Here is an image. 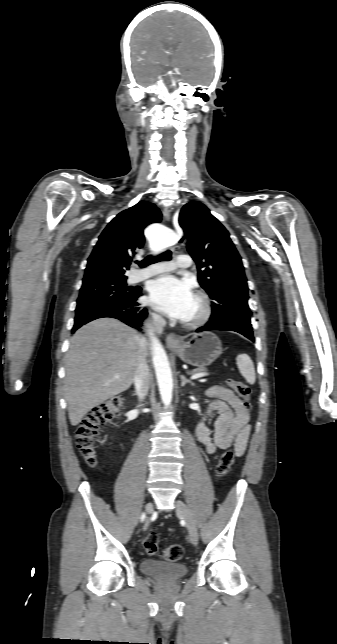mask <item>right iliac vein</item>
<instances>
[{
	"instance_id": "1",
	"label": "right iliac vein",
	"mask_w": 337,
	"mask_h": 644,
	"mask_svg": "<svg viewBox=\"0 0 337 644\" xmlns=\"http://www.w3.org/2000/svg\"><path fill=\"white\" fill-rule=\"evenodd\" d=\"M152 510H153V509H152V503H148V504H147V506H146V511H147V513H148V514H151ZM147 527H148V520H147V522H146V524H145L144 529H147Z\"/></svg>"
}]
</instances>
